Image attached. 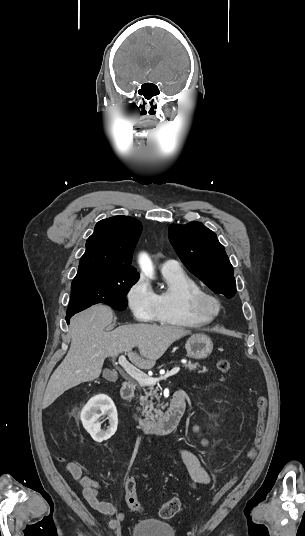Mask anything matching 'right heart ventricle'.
Segmentation results:
<instances>
[{
  "mask_svg": "<svg viewBox=\"0 0 305 536\" xmlns=\"http://www.w3.org/2000/svg\"><path fill=\"white\" fill-rule=\"evenodd\" d=\"M166 289L156 294V321L161 325L178 327H199L205 325L199 318L189 313L187 297L203 290L200 284L183 269L161 270Z\"/></svg>",
  "mask_w": 305,
  "mask_h": 536,
  "instance_id": "obj_1",
  "label": "right heart ventricle"
}]
</instances>
